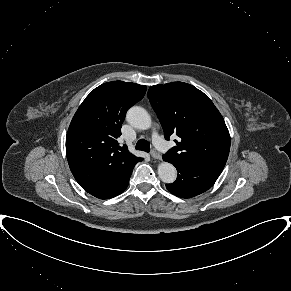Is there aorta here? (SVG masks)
Segmentation results:
<instances>
[{
  "mask_svg": "<svg viewBox=\"0 0 291 291\" xmlns=\"http://www.w3.org/2000/svg\"><path fill=\"white\" fill-rule=\"evenodd\" d=\"M126 118L129 124L141 130L149 129L152 124L149 113L140 106L131 107ZM158 175L164 183H173L176 180L177 171L171 163L162 162L158 166Z\"/></svg>",
  "mask_w": 291,
  "mask_h": 291,
  "instance_id": "aorta-1",
  "label": "aorta"
}]
</instances>
